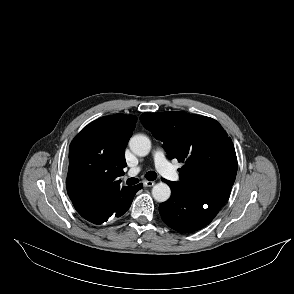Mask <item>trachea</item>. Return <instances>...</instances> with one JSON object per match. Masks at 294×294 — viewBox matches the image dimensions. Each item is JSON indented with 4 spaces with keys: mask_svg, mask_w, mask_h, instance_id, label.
Masks as SVG:
<instances>
[{
    "mask_svg": "<svg viewBox=\"0 0 294 294\" xmlns=\"http://www.w3.org/2000/svg\"><path fill=\"white\" fill-rule=\"evenodd\" d=\"M145 177H146L147 180L153 181V180H155L157 178V174L154 171H149V172L146 173ZM138 182H139V180L137 178H129L126 181V184L127 185H134V184H137Z\"/></svg>",
    "mask_w": 294,
    "mask_h": 294,
    "instance_id": "3493384b",
    "label": "trachea"
}]
</instances>
